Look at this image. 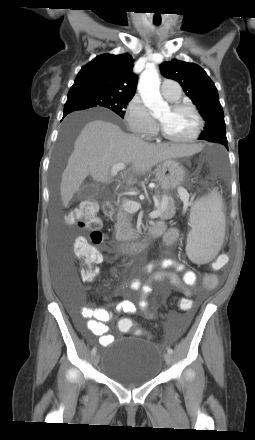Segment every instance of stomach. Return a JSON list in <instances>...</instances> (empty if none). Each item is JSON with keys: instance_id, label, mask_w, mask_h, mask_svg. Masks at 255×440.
<instances>
[{"instance_id": "obj_1", "label": "stomach", "mask_w": 255, "mask_h": 440, "mask_svg": "<svg viewBox=\"0 0 255 440\" xmlns=\"http://www.w3.org/2000/svg\"><path fill=\"white\" fill-rule=\"evenodd\" d=\"M185 177V168L174 159L161 162L156 169V181L163 190L169 191L180 186Z\"/></svg>"}]
</instances>
